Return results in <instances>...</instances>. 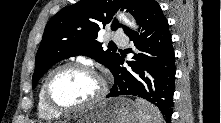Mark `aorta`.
Wrapping results in <instances>:
<instances>
[{
	"mask_svg": "<svg viewBox=\"0 0 221 123\" xmlns=\"http://www.w3.org/2000/svg\"><path fill=\"white\" fill-rule=\"evenodd\" d=\"M119 20L124 22L126 25L134 28L135 27V23L134 22H131L129 19H127L124 15H119L118 16Z\"/></svg>",
	"mask_w": 221,
	"mask_h": 123,
	"instance_id": "obj_1",
	"label": "aorta"
}]
</instances>
